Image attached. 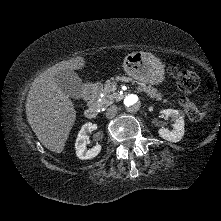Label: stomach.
<instances>
[{
	"label": "stomach",
	"mask_w": 221,
	"mask_h": 221,
	"mask_svg": "<svg viewBox=\"0 0 221 221\" xmlns=\"http://www.w3.org/2000/svg\"><path fill=\"white\" fill-rule=\"evenodd\" d=\"M123 68L128 76L144 84L159 85L165 79L164 65L160 59L148 52L128 54Z\"/></svg>",
	"instance_id": "1"
}]
</instances>
